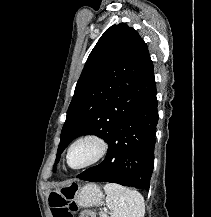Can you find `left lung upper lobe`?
<instances>
[{
    "instance_id": "left-lung-upper-lobe-1",
    "label": "left lung upper lobe",
    "mask_w": 211,
    "mask_h": 217,
    "mask_svg": "<svg viewBox=\"0 0 211 217\" xmlns=\"http://www.w3.org/2000/svg\"><path fill=\"white\" fill-rule=\"evenodd\" d=\"M155 87L153 63L143 39L125 23L109 27L76 84L55 163L76 137L96 135L107 142L115 126Z\"/></svg>"
}]
</instances>
